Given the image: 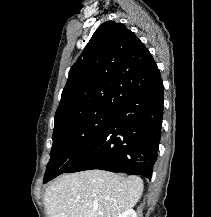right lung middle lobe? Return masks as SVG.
<instances>
[{"instance_id": "obj_1", "label": "right lung middle lobe", "mask_w": 211, "mask_h": 217, "mask_svg": "<svg viewBox=\"0 0 211 217\" xmlns=\"http://www.w3.org/2000/svg\"><path fill=\"white\" fill-rule=\"evenodd\" d=\"M115 113L111 110L90 112L55 126L44 183L78 161L104 134Z\"/></svg>"}]
</instances>
